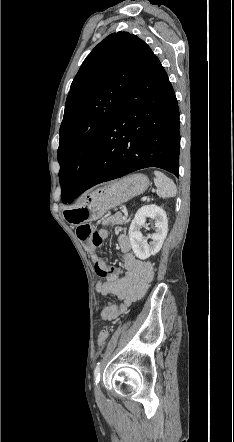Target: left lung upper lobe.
Wrapping results in <instances>:
<instances>
[{"mask_svg":"<svg viewBox=\"0 0 234 442\" xmlns=\"http://www.w3.org/2000/svg\"><path fill=\"white\" fill-rule=\"evenodd\" d=\"M136 35L113 33L86 57L67 96L58 161L63 203L77 192L123 97L153 56Z\"/></svg>","mask_w":234,"mask_h":442,"instance_id":"5c2ea615","label":"left lung upper lobe"}]
</instances>
